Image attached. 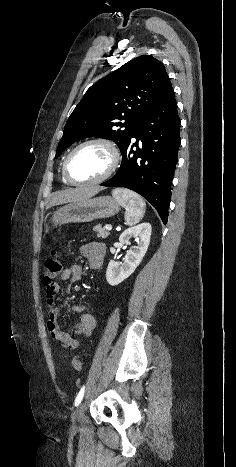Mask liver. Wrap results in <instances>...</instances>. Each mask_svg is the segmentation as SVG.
<instances>
[{
    "label": "liver",
    "mask_w": 236,
    "mask_h": 467,
    "mask_svg": "<svg viewBox=\"0 0 236 467\" xmlns=\"http://www.w3.org/2000/svg\"><path fill=\"white\" fill-rule=\"evenodd\" d=\"M102 188L100 187H79L75 189H68L64 191H58L53 194L49 201L46 209L53 206L61 205L68 202H75L79 200L88 199L97 194Z\"/></svg>",
    "instance_id": "liver-1"
}]
</instances>
